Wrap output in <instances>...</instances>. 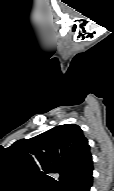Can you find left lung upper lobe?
<instances>
[{
    "mask_svg": "<svg viewBox=\"0 0 114 191\" xmlns=\"http://www.w3.org/2000/svg\"><path fill=\"white\" fill-rule=\"evenodd\" d=\"M8 151L23 167L61 188L91 157L88 140L76 124L56 126L31 139L13 143ZM58 174V181L47 174Z\"/></svg>",
    "mask_w": 114,
    "mask_h": 191,
    "instance_id": "left-lung-upper-lobe-1",
    "label": "left lung upper lobe"
}]
</instances>
